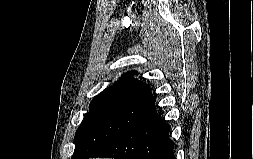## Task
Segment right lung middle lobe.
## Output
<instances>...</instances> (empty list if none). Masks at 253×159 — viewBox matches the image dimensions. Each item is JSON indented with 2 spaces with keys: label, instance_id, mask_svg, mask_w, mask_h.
Instances as JSON below:
<instances>
[{
  "label": "right lung middle lobe",
  "instance_id": "1",
  "mask_svg": "<svg viewBox=\"0 0 253 159\" xmlns=\"http://www.w3.org/2000/svg\"><path fill=\"white\" fill-rule=\"evenodd\" d=\"M155 111L153 103L124 98H94L75 134L71 159H88L100 147L132 129Z\"/></svg>",
  "mask_w": 253,
  "mask_h": 159
}]
</instances>
